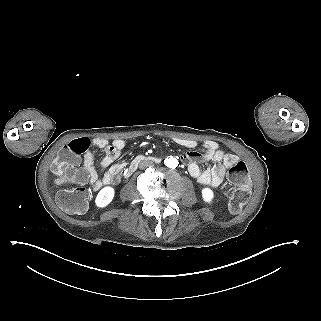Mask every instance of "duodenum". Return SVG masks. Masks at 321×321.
Segmentation results:
<instances>
[{
  "mask_svg": "<svg viewBox=\"0 0 321 321\" xmlns=\"http://www.w3.org/2000/svg\"><path fill=\"white\" fill-rule=\"evenodd\" d=\"M143 161L157 162L159 161V159L156 157L144 156V155L137 156L126 169V173H125L126 176L131 175L137 169L138 165Z\"/></svg>",
  "mask_w": 321,
  "mask_h": 321,
  "instance_id": "duodenum-1",
  "label": "duodenum"
}]
</instances>
